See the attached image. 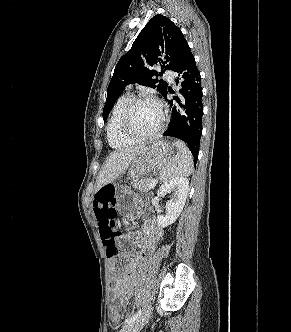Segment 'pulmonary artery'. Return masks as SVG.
Instances as JSON below:
<instances>
[{
  "label": "pulmonary artery",
  "instance_id": "1",
  "mask_svg": "<svg viewBox=\"0 0 291 332\" xmlns=\"http://www.w3.org/2000/svg\"><path fill=\"white\" fill-rule=\"evenodd\" d=\"M167 78L170 82L174 79V74L171 71H167Z\"/></svg>",
  "mask_w": 291,
  "mask_h": 332
}]
</instances>
